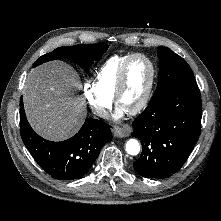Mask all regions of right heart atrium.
Wrapping results in <instances>:
<instances>
[{"label":"right heart atrium","mask_w":221,"mask_h":221,"mask_svg":"<svg viewBox=\"0 0 221 221\" xmlns=\"http://www.w3.org/2000/svg\"><path fill=\"white\" fill-rule=\"evenodd\" d=\"M83 95L93 113L99 117H103L112 105V99L102 94L91 81L84 83Z\"/></svg>","instance_id":"obj_1"}]
</instances>
